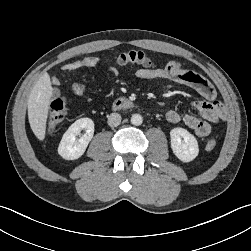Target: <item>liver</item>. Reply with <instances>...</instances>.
<instances>
[{
	"mask_svg": "<svg viewBox=\"0 0 251 251\" xmlns=\"http://www.w3.org/2000/svg\"><path fill=\"white\" fill-rule=\"evenodd\" d=\"M52 94L50 76L48 73H44L33 86L27 102L30 127L40 141L45 138Z\"/></svg>",
	"mask_w": 251,
	"mask_h": 251,
	"instance_id": "obj_1",
	"label": "liver"
}]
</instances>
